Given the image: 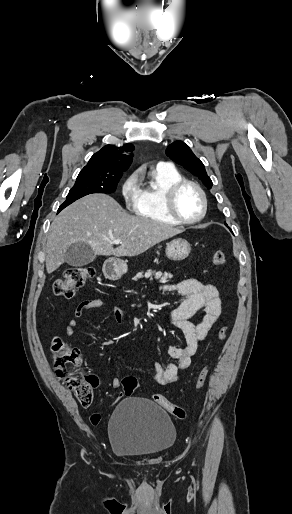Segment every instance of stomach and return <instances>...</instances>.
Wrapping results in <instances>:
<instances>
[{"instance_id": "obj_1", "label": "stomach", "mask_w": 292, "mask_h": 514, "mask_svg": "<svg viewBox=\"0 0 292 514\" xmlns=\"http://www.w3.org/2000/svg\"><path fill=\"white\" fill-rule=\"evenodd\" d=\"M166 256L169 260H185L187 256H189L191 252V246L186 242V240H182V238H177V240H172L166 246ZM103 274L107 280H120L121 276L127 272V266L123 260H119V258H109L103 264Z\"/></svg>"}]
</instances>
